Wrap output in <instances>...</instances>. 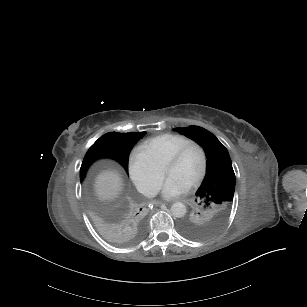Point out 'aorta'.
<instances>
[{"mask_svg": "<svg viewBox=\"0 0 307 307\" xmlns=\"http://www.w3.org/2000/svg\"><path fill=\"white\" fill-rule=\"evenodd\" d=\"M171 213L174 217L181 218L186 214V206L182 202H176L171 206Z\"/></svg>", "mask_w": 307, "mask_h": 307, "instance_id": "762f6f07", "label": "aorta"}]
</instances>
